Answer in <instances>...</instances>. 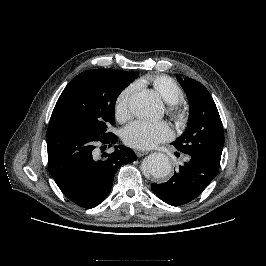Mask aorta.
Instances as JSON below:
<instances>
[{"label": "aorta", "mask_w": 266, "mask_h": 266, "mask_svg": "<svg viewBox=\"0 0 266 266\" xmlns=\"http://www.w3.org/2000/svg\"><path fill=\"white\" fill-rule=\"evenodd\" d=\"M129 110L138 118L159 117L162 112L161 100L154 92H137L129 100ZM143 168L154 178H164L170 174L172 167L165 154L152 153L147 157Z\"/></svg>", "instance_id": "aorta-1"}]
</instances>
